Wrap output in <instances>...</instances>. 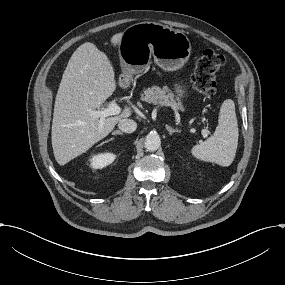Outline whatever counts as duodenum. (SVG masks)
Returning a JSON list of instances; mask_svg holds the SVG:
<instances>
[{
  "mask_svg": "<svg viewBox=\"0 0 285 285\" xmlns=\"http://www.w3.org/2000/svg\"><path fill=\"white\" fill-rule=\"evenodd\" d=\"M118 85L121 89L126 90L130 87L131 82L128 78L123 77L119 80Z\"/></svg>",
  "mask_w": 285,
  "mask_h": 285,
  "instance_id": "1",
  "label": "duodenum"
}]
</instances>
